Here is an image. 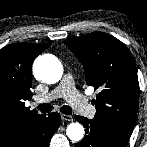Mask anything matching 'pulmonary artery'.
<instances>
[{
  "label": "pulmonary artery",
  "mask_w": 147,
  "mask_h": 147,
  "mask_svg": "<svg viewBox=\"0 0 147 147\" xmlns=\"http://www.w3.org/2000/svg\"><path fill=\"white\" fill-rule=\"evenodd\" d=\"M63 97L77 112L87 117H93L95 108L75 88L74 79L71 74H66L59 85L50 93L35 97L36 103H46L56 98Z\"/></svg>",
  "instance_id": "e3ab8cb5"
}]
</instances>
